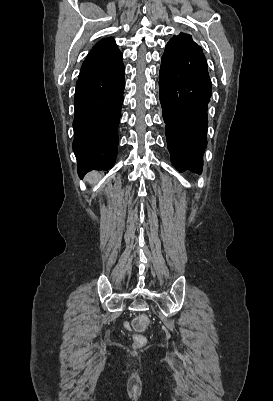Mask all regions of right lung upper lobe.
<instances>
[{
    "label": "right lung upper lobe",
    "instance_id": "1",
    "mask_svg": "<svg viewBox=\"0 0 273 401\" xmlns=\"http://www.w3.org/2000/svg\"><path fill=\"white\" fill-rule=\"evenodd\" d=\"M121 58L122 53L119 51L115 40L113 38L102 39L88 54L82 65L79 77L108 67Z\"/></svg>",
    "mask_w": 273,
    "mask_h": 401
}]
</instances>
